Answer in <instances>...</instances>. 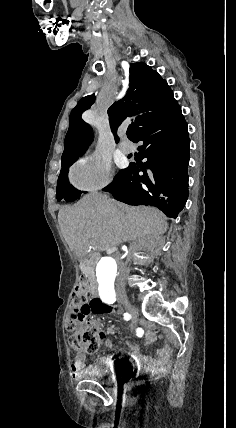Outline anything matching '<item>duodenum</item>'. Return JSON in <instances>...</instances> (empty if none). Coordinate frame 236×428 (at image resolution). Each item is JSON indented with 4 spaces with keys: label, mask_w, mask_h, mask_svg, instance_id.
<instances>
[{
    "label": "duodenum",
    "mask_w": 236,
    "mask_h": 428,
    "mask_svg": "<svg viewBox=\"0 0 236 428\" xmlns=\"http://www.w3.org/2000/svg\"><path fill=\"white\" fill-rule=\"evenodd\" d=\"M87 263H88V259L86 257H81L80 258V264H81V266L86 267ZM90 290H91V292H92L93 295H95V296L100 295V291L98 289V285H97V283H96V281L94 279L90 280Z\"/></svg>",
    "instance_id": "410a0bca"
}]
</instances>
